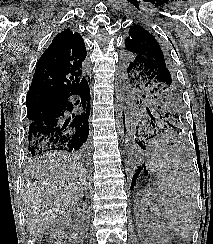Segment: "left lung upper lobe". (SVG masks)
<instances>
[{"instance_id":"5c2ea615","label":"left lung upper lobe","mask_w":213,"mask_h":244,"mask_svg":"<svg viewBox=\"0 0 213 244\" xmlns=\"http://www.w3.org/2000/svg\"><path fill=\"white\" fill-rule=\"evenodd\" d=\"M121 72L127 106L154 120L168 136L186 130L184 105L175 70L155 37L139 25L125 40Z\"/></svg>"}]
</instances>
